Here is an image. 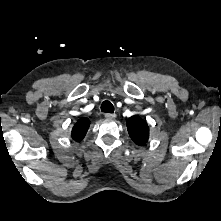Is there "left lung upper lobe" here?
I'll return each instance as SVG.
<instances>
[{
    "label": "left lung upper lobe",
    "instance_id": "left-lung-upper-lobe-1",
    "mask_svg": "<svg viewBox=\"0 0 221 221\" xmlns=\"http://www.w3.org/2000/svg\"><path fill=\"white\" fill-rule=\"evenodd\" d=\"M127 129L131 139L137 145H144L148 141L149 127L140 117H130L127 121Z\"/></svg>",
    "mask_w": 221,
    "mask_h": 221
}]
</instances>
